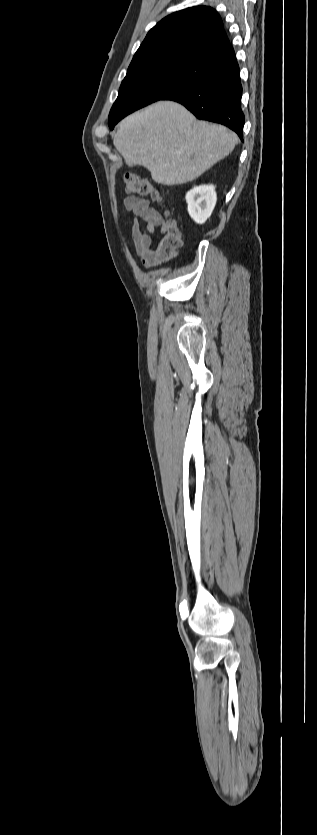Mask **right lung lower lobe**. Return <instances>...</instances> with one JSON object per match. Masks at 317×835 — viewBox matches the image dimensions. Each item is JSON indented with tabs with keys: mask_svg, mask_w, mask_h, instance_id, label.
<instances>
[{
	"mask_svg": "<svg viewBox=\"0 0 317 835\" xmlns=\"http://www.w3.org/2000/svg\"><path fill=\"white\" fill-rule=\"evenodd\" d=\"M192 58L206 73V78L173 92L163 100L181 103L198 119L225 125L243 140L242 86L232 45L228 43Z\"/></svg>",
	"mask_w": 317,
	"mask_h": 835,
	"instance_id": "98d812e1",
	"label": "right lung lower lobe"
}]
</instances>
